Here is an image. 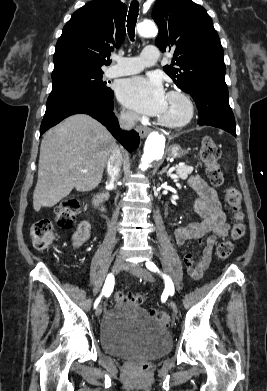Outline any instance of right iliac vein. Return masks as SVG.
<instances>
[{"label":"right iliac vein","instance_id":"right-iliac-vein-1","mask_svg":"<svg viewBox=\"0 0 267 391\" xmlns=\"http://www.w3.org/2000/svg\"><path fill=\"white\" fill-rule=\"evenodd\" d=\"M124 267H125L124 259L120 256L117 257L112 269L113 274L117 275L119 272H121L124 269ZM101 312H102V305L99 304L98 307L96 308V316H100Z\"/></svg>","mask_w":267,"mask_h":391}]
</instances>
